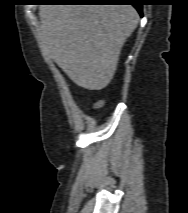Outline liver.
Returning a JSON list of instances; mask_svg holds the SVG:
<instances>
[{
	"instance_id": "1",
	"label": "liver",
	"mask_w": 188,
	"mask_h": 213,
	"mask_svg": "<svg viewBox=\"0 0 188 213\" xmlns=\"http://www.w3.org/2000/svg\"><path fill=\"white\" fill-rule=\"evenodd\" d=\"M44 48L78 86L104 89L139 22L131 5H41Z\"/></svg>"
}]
</instances>
